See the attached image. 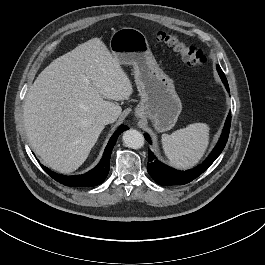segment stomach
Returning <instances> with one entry per match:
<instances>
[{"label": "stomach", "mask_w": 265, "mask_h": 265, "mask_svg": "<svg viewBox=\"0 0 265 265\" xmlns=\"http://www.w3.org/2000/svg\"><path fill=\"white\" fill-rule=\"evenodd\" d=\"M110 50L120 65H132L141 100L137 117L149 118L158 132L170 130L182 110L172 79L157 64L145 35L130 27L113 33Z\"/></svg>", "instance_id": "0dacf381"}]
</instances>
